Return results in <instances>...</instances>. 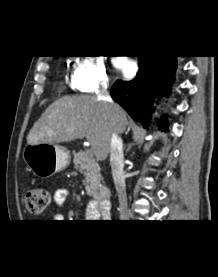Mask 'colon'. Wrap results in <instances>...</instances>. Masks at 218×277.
<instances>
[{"instance_id":"1","label":"colon","mask_w":218,"mask_h":277,"mask_svg":"<svg viewBox=\"0 0 218 277\" xmlns=\"http://www.w3.org/2000/svg\"><path fill=\"white\" fill-rule=\"evenodd\" d=\"M49 191L42 187L27 189L23 194V203L31 214L42 213L49 205Z\"/></svg>"}]
</instances>
